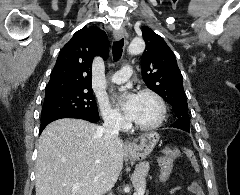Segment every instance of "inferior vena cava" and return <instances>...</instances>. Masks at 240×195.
<instances>
[{"label":"inferior vena cava","instance_id":"1","mask_svg":"<svg viewBox=\"0 0 240 195\" xmlns=\"http://www.w3.org/2000/svg\"><path fill=\"white\" fill-rule=\"evenodd\" d=\"M103 119L104 123L102 127H98L96 131L98 137H101V141H109V139L119 141L120 119L116 115H112V113H104Z\"/></svg>","mask_w":240,"mask_h":195}]
</instances>
